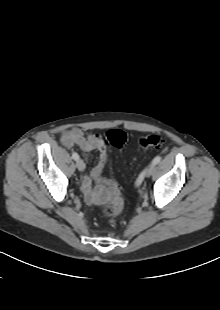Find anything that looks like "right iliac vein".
<instances>
[{"label":"right iliac vein","instance_id":"63e3f726","mask_svg":"<svg viewBox=\"0 0 220 310\" xmlns=\"http://www.w3.org/2000/svg\"><path fill=\"white\" fill-rule=\"evenodd\" d=\"M76 166H77L78 170L81 172L84 171V169H85V163L81 159L77 160Z\"/></svg>","mask_w":220,"mask_h":310}]
</instances>
